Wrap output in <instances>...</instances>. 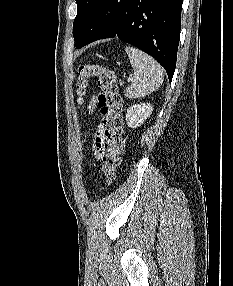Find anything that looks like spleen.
<instances>
[{
  "label": "spleen",
  "instance_id": "3e777b00",
  "mask_svg": "<svg viewBox=\"0 0 233 286\" xmlns=\"http://www.w3.org/2000/svg\"><path fill=\"white\" fill-rule=\"evenodd\" d=\"M125 51L134 69L133 81L125 89V96L130 99L144 97L158 89L164 80L161 65L135 47L128 46Z\"/></svg>",
  "mask_w": 233,
  "mask_h": 286
}]
</instances>
